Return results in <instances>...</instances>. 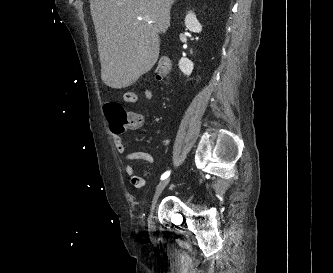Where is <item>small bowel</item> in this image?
Returning a JSON list of instances; mask_svg holds the SVG:
<instances>
[{"label":"small bowel","mask_w":333,"mask_h":273,"mask_svg":"<svg viewBox=\"0 0 333 273\" xmlns=\"http://www.w3.org/2000/svg\"><path fill=\"white\" fill-rule=\"evenodd\" d=\"M147 98H151V93L147 92L146 93ZM124 101L127 103H139L140 98L138 94L134 92H127L125 93L123 97ZM133 116L135 118V122L127 126L126 128L131 129V130H136L141 128L144 125V116L145 113L144 111H134ZM112 133V139L113 143L119 153L124 154L125 153V147L123 144V138H122V133L120 131L111 129ZM125 159L132 162V161H144L148 163H155V157L147 152V151H130L125 153ZM125 173L131 177V182L133 186L136 188H142L144 184L140 181V178L135 175V167L133 164H127L125 166Z\"/></svg>","instance_id":"c3829d8e"}]
</instances>
